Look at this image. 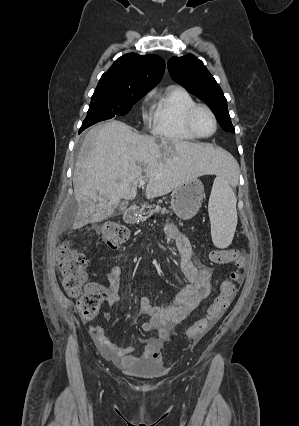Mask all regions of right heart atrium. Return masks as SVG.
<instances>
[{"instance_id":"right-heart-atrium-1","label":"right heart atrium","mask_w":299,"mask_h":426,"mask_svg":"<svg viewBox=\"0 0 299 426\" xmlns=\"http://www.w3.org/2000/svg\"><path fill=\"white\" fill-rule=\"evenodd\" d=\"M143 118L146 122H148L151 118L150 114L146 110L143 111Z\"/></svg>"}]
</instances>
